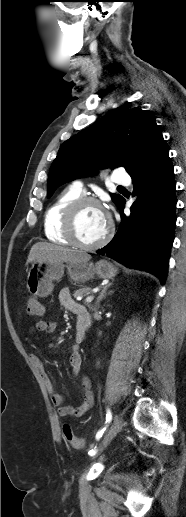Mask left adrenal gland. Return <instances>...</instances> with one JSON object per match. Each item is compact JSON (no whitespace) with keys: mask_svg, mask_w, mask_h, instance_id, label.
Listing matches in <instances>:
<instances>
[{"mask_svg":"<svg viewBox=\"0 0 186 517\" xmlns=\"http://www.w3.org/2000/svg\"><path fill=\"white\" fill-rule=\"evenodd\" d=\"M112 285V283H109L108 285H106L105 287H103L102 291L100 292V295L97 297V302H96V305H99L100 301H102L103 299L106 298V291L108 289V287H110ZM113 293V291H110L108 292V295H111Z\"/></svg>","mask_w":186,"mask_h":517,"instance_id":"a2214340","label":"left adrenal gland"}]
</instances>
